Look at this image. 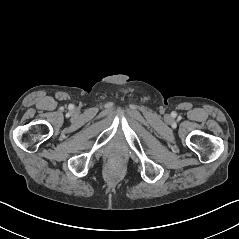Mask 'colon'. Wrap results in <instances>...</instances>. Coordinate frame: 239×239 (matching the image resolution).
Returning <instances> with one entry per match:
<instances>
[{"label":"colon","mask_w":239,"mask_h":239,"mask_svg":"<svg viewBox=\"0 0 239 239\" xmlns=\"http://www.w3.org/2000/svg\"><path fill=\"white\" fill-rule=\"evenodd\" d=\"M114 164H119V161H114Z\"/></svg>","instance_id":"colon-1"}]
</instances>
